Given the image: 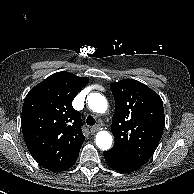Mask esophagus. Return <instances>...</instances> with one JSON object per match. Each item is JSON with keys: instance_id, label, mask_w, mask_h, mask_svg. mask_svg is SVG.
I'll list each match as a JSON object with an SVG mask.
<instances>
[{"instance_id": "obj_1", "label": "esophagus", "mask_w": 194, "mask_h": 194, "mask_svg": "<svg viewBox=\"0 0 194 194\" xmlns=\"http://www.w3.org/2000/svg\"><path fill=\"white\" fill-rule=\"evenodd\" d=\"M100 130V126L99 125H96V126H93L91 127L90 131L91 133H96Z\"/></svg>"}]
</instances>
